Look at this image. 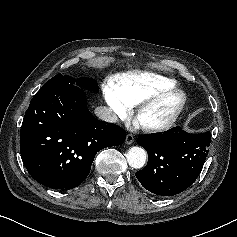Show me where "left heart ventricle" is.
I'll use <instances>...</instances> for the list:
<instances>
[{
    "mask_svg": "<svg viewBox=\"0 0 237 237\" xmlns=\"http://www.w3.org/2000/svg\"><path fill=\"white\" fill-rule=\"evenodd\" d=\"M178 99L170 97L158 105L147 109L138 119L141 124H153L164 121L175 108Z\"/></svg>",
    "mask_w": 237,
    "mask_h": 237,
    "instance_id": "1",
    "label": "left heart ventricle"
}]
</instances>
